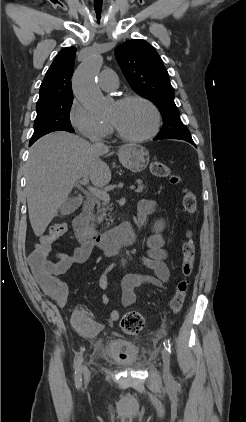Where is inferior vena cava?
Wrapping results in <instances>:
<instances>
[{
	"label": "inferior vena cava",
	"instance_id": "inferior-vena-cava-1",
	"mask_svg": "<svg viewBox=\"0 0 246 422\" xmlns=\"http://www.w3.org/2000/svg\"><path fill=\"white\" fill-rule=\"evenodd\" d=\"M93 142H95V146H98V147H101V146H103L104 144L100 141V140H93Z\"/></svg>",
	"mask_w": 246,
	"mask_h": 422
}]
</instances>
